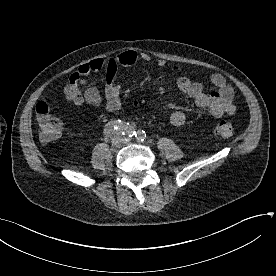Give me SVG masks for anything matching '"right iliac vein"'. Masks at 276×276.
Returning <instances> with one entry per match:
<instances>
[{
  "label": "right iliac vein",
  "mask_w": 276,
  "mask_h": 276,
  "mask_svg": "<svg viewBox=\"0 0 276 276\" xmlns=\"http://www.w3.org/2000/svg\"><path fill=\"white\" fill-rule=\"evenodd\" d=\"M121 142V138L119 134H116L111 139V144L113 147H118Z\"/></svg>",
  "instance_id": "1"
}]
</instances>
